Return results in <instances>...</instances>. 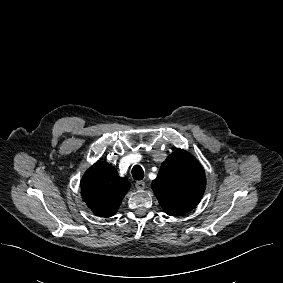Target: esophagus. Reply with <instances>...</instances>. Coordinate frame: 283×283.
<instances>
[{"mask_svg": "<svg viewBox=\"0 0 283 283\" xmlns=\"http://www.w3.org/2000/svg\"><path fill=\"white\" fill-rule=\"evenodd\" d=\"M135 186L138 190H142L145 188V182L143 181H136Z\"/></svg>", "mask_w": 283, "mask_h": 283, "instance_id": "esophagus-1", "label": "esophagus"}]
</instances>
